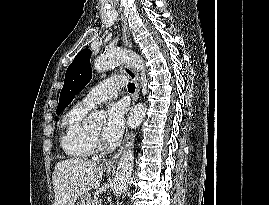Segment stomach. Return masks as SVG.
Instances as JSON below:
<instances>
[{
    "label": "stomach",
    "instance_id": "stomach-1",
    "mask_svg": "<svg viewBox=\"0 0 269 205\" xmlns=\"http://www.w3.org/2000/svg\"><path fill=\"white\" fill-rule=\"evenodd\" d=\"M104 170L109 173L111 172L112 167L106 166L104 167ZM75 205H92V201L88 196L82 195Z\"/></svg>",
    "mask_w": 269,
    "mask_h": 205
}]
</instances>
